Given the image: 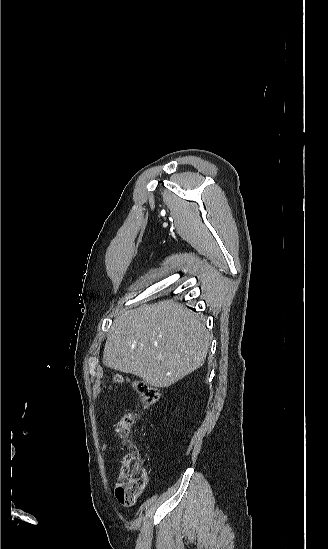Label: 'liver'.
<instances>
[{
    "instance_id": "1",
    "label": "liver",
    "mask_w": 328,
    "mask_h": 549,
    "mask_svg": "<svg viewBox=\"0 0 328 549\" xmlns=\"http://www.w3.org/2000/svg\"><path fill=\"white\" fill-rule=\"evenodd\" d=\"M103 365L171 387L205 363L211 337L205 319L185 305L160 301L114 315Z\"/></svg>"
}]
</instances>
